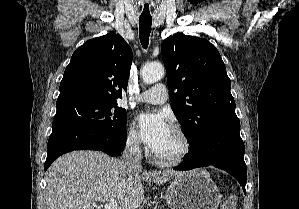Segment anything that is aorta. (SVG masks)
I'll list each match as a JSON object with an SVG mask.
<instances>
[{"label":"aorta","mask_w":299,"mask_h":209,"mask_svg":"<svg viewBox=\"0 0 299 209\" xmlns=\"http://www.w3.org/2000/svg\"><path fill=\"white\" fill-rule=\"evenodd\" d=\"M164 74V67L160 63L146 64L141 70L143 82L146 84L158 82L163 78Z\"/></svg>","instance_id":"obj_1"}]
</instances>
